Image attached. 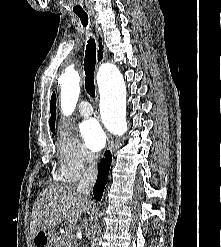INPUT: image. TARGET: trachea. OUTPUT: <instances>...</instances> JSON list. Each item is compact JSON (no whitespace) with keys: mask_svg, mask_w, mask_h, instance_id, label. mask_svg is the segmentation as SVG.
I'll list each match as a JSON object with an SVG mask.
<instances>
[{"mask_svg":"<svg viewBox=\"0 0 221 247\" xmlns=\"http://www.w3.org/2000/svg\"><path fill=\"white\" fill-rule=\"evenodd\" d=\"M78 17L84 27L88 24V16L78 14ZM96 64V44L93 38H90L87 42L85 59H84V71H85V89L91 96L95 97V85H94V71Z\"/></svg>","mask_w":221,"mask_h":247,"instance_id":"3493384b","label":"trachea"}]
</instances>
